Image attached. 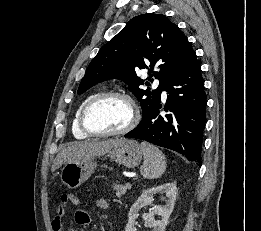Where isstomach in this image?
Here are the masks:
<instances>
[{"label":"stomach","mask_w":261,"mask_h":231,"mask_svg":"<svg viewBox=\"0 0 261 231\" xmlns=\"http://www.w3.org/2000/svg\"><path fill=\"white\" fill-rule=\"evenodd\" d=\"M111 160L127 168L137 167L142 160V148L136 140H122L107 155ZM97 162L89 159L82 162H69L61 170V181L70 189L84 183L94 172Z\"/></svg>","instance_id":"obj_1"}]
</instances>
